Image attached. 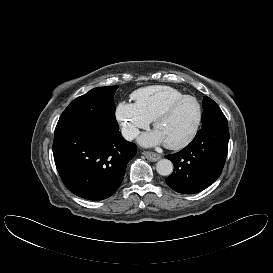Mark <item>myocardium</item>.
I'll return each mask as SVG.
<instances>
[{"mask_svg":"<svg viewBox=\"0 0 273 273\" xmlns=\"http://www.w3.org/2000/svg\"><path fill=\"white\" fill-rule=\"evenodd\" d=\"M185 100H192L195 102L196 106H197V119L195 122V125L191 131V133L181 142L175 143V144H168L165 143V146L168 147L169 149H173V150H179L182 149L186 146H188L197 136L198 131L200 129V125H201V121H202V107L201 104L199 103V101L191 95H184L180 98H177L173 101H171L169 104H167L154 118L153 120V127L154 129H156L157 125L165 118H167L170 113L172 112V110L180 103H182Z\"/></svg>","mask_w":273,"mask_h":273,"instance_id":"1","label":"myocardium"}]
</instances>
